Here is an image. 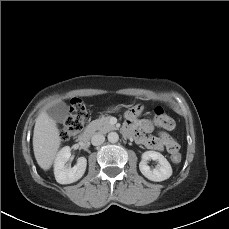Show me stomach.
Instances as JSON below:
<instances>
[{
  "instance_id": "0dacf381",
  "label": "stomach",
  "mask_w": 229,
  "mask_h": 229,
  "mask_svg": "<svg viewBox=\"0 0 229 229\" xmlns=\"http://www.w3.org/2000/svg\"><path fill=\"white\" fill-rule=\"evenodd\" d=\"M117 110H119L118 106L108 108L109 112H114V111H117Z\"/></svg>"
}]
</instances>
